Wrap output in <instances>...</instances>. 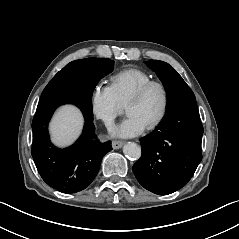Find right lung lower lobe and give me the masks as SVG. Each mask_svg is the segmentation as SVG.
Returning <instances> with one entry per match:
<instances>
[{"label":"right lung lower lobe","mask_w":239,"mask_h":239,"mask_svg":"<svg viewBox=\"0 0 239 239\" xmlns=\"http://www.w3.org/2000/svg\"><path fill=\"white\" fill-rule=\"evenodd\" d=\"M92 96L72 91L39 102L32 121V157L42 179L62 193L85 189L97 175L103 156L112 150L111 142L97 140L93 124ZM66 103L78 106L85 118L77 142L66 149L56 148L49 139L48 122L55 109Z\"/></svg>","instance_id":"right-lung-lower-lobe-1"}]
</instances>
